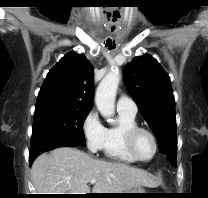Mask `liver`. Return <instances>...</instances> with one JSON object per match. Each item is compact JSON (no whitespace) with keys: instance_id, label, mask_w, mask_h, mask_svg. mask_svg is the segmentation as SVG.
<instances>
[{"instance_id":"liver-1","label":"liver","mask_w":208,"mask_h":198,"mask_svg":"<svg viewBox=\"0 0 208 198\" xmlns=\"http://www.w3.org/2000/svg\"><path fill=\"white\" fill-rule=\"evenodd\" d=\"M31 176L38 194H86L92 179L96 180L92 193H122L134 187L157 185L146 171L94 159L71 147L38 156L32 164Z\"/></svg>"}]
</instances>
